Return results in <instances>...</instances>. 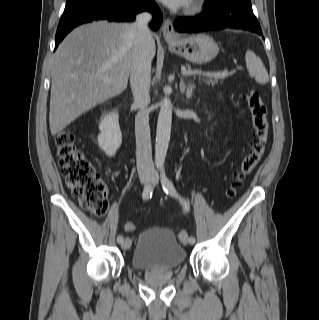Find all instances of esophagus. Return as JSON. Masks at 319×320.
Here are the masks:
<instances>
[{"label": "esophagus", "mask_w": 319, "mask_h": 320, "mask_svg": "<svg viewBox=\"0 0 319 320\" xmlns=\"http://www.w3.org/2000/svg\"><path fill=\"white\" fill-rule=\"evenodd\" d=\"M163 37L165 40L170 41L178 37L174 25L170 19H166L164 21L163 27H162Z\"/></svg>", "instance_id": "esophagus-1"}]
</instances>
